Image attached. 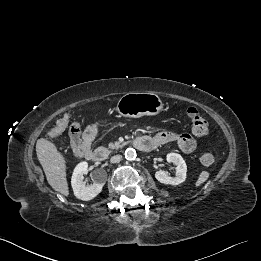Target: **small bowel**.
Returning a JSON list of instances; mask_svg holds the SVG:
<instances>
[{"label": "small bowel", "mask_w": 261, "mask_h": 261, "mask_svg": "<svg viewBox=\"0 0 261 261\" xmlns=\"http://www.w3.org/2000/svg\"><path fill=\"white\" fill-rule=\"evenodd\" d=\"M96 133L97 125H91L85 129L81 139L78 138L76 141H72L71 146L74 155L82 156L84 151L91 150V145ZM140 138L152 142L155 145V148L167 143L175 142L180 151L184 154L194 152L197 147V141L189 134H176L170 131H164L155 136L143 135Z\"/></svg>", "instance_id": "c3829d8e"}]
</instances>
